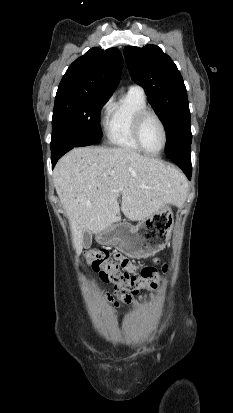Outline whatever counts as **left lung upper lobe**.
Returning <instances> with one entry per match:
<instances>
[{"mask_svg": "<svg viewBox=\"0 0 233 413\" xmlns=\"http://www.w3.org/2000/svg\"><path fill=\"white\" fill-rule=\"evenodd\" d=\"M125 58L133 80L142 86L161 118L168 143L169 158L191 156V125L187 91L172 59L161 48L127 46Z\"/></svg>", "mask_w": 233, "mask_h": 413, "instance_id": "left-lung-upper-lobe-1", "label": "left lung upper lobe"}]
</instances>
